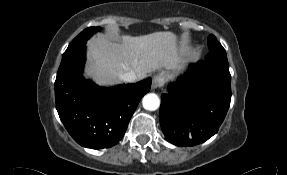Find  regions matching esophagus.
<instances>
[{
	"instance_id": "1",
	"label": "esophagus",
	"mask_w": 287,
	"mask_h": 175,
	"mask_svg": "<svg viewBox=\"0 0 287 175\" xmlns=\"http://www.w3.org/2000/svg\"><path fill=\"white\" fill-rule=\"evenodd\" d=\"M165 83V75L163 73H158L153 76L152 79V88L156 89L163 86Z\"/></svg>"
}]
</instances>
